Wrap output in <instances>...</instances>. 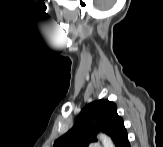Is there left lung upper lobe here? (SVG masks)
<instances>
[{
    "label": "left lung upper lobe",
    "mask_w": 163,
    "mask_h": 147,
    "mask_svg": "<svg viewBox=\"0 0 163 147\" xmlns=\"http://www.w3.org/2000/svg\"><path fill=\"white\" fill-rule=\"evenodd\" d=\"M124 127L117 114L116 104L109 100H97L85 106L77 116L74 126L58 138L54 147H88L97 141L100 131L109 135L115 143Z\"/></svg>",
    "instance_id": "obj_1"
}]
</instances>
